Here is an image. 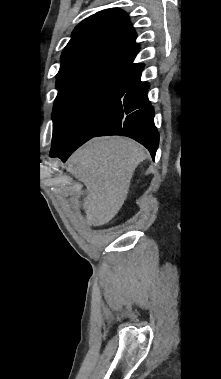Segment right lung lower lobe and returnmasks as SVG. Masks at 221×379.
<instances>
[{
    "mask_svg": "<svg viewBox=\"0 0 221 379\" xmlns=\"http://www.w3.org/2000/svg\"><path fill=\"white\" fill-rule=\"evenodd\" d=\"M143 67L121 81L118 102L102 125L93 135H122L131 137L143 144L154 159L159 144V134L154 125V110L147 98L149 84L141 82ZM89 139L77 142H65L61 139L52 144L50 156L65 161L81 144Z\"/></svg>",
    "mask_w": 221,
    "mask_h": 379,
    "instance_id": "obj_1",
    "label": "right lung lower lobe"
}]
</instances>
